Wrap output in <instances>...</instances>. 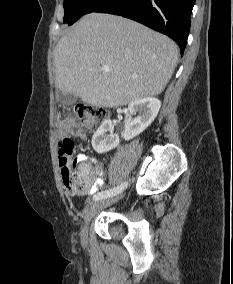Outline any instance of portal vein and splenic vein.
Returning <instances> with one entry per match:
<instances>
[{
    "label": "portal vein and splenic vein",
    "mask_w": 233,
    "mask_h": 284,
    "mask_svg": "<svg viewBox=\"0 0 233 284\" xmlns=\"http://www.w3.org/2000/svg\"><path fill=\"white\" fill-rule=\"evenodd\" d=\"M101 70L104 71V72L109 71V66L103 65V66L101 67Z\"/></svg>",
    "instance_id": "portal-vein-and-splenic-vein-1"
}]
</instances>
